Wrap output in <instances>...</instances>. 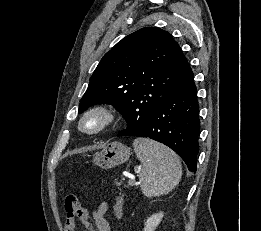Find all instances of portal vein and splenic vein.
I'll return each instance as SVG.
<instances>
[{
	"mask_svg": "<svg viewBox=\"0 0 261 231\" xmlns=\"http://www.w3.org/2000/svg\"><path fill=\"white\" fill-rule=\"evenodd\" d=\"M129 184L134 185L136 182L134 180H129Z\"/></svg>",
	"mask_w": 261,
	"mask_h": 231,
	"instance_id": "portal-vein-and-splenic-vein-1",
	"label": "portal vein and splenic vein"
}]
</instances>
